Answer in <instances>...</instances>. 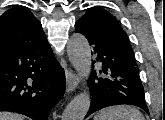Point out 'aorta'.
Here are the masks:
<instances>
[{
  "mask_svg": "<svg viewBox=\"0 0 165 120\" xmlns=\"http://www.w3.org/2000/svg\"><path fill=\"white\" fill-rule=\"evenodd\" d=\"M69 60L82 77L88 79L91 72V49L87 39L81 34H74L67 44ZM91 103L89 91H83L67 105L62 120H83Z\"/></svg>",
  "mask_w": 165,
  "mask_h": 120,
  "instance_id": "762f6f07",
  "label": "aorta"
}]
</instances>
